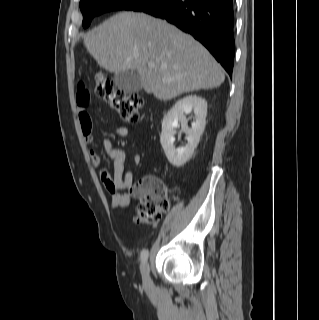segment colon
Segmentation results:
<instances>
[{"label":"colon","instance_id":"1","mask_svg":"<svg viewBox=\"0 0 319 320\" xmlns=\"http://www.w3.org/2000/svg\"><path fill=\"white\" fill-rule=\"evenodd\" d=\"M95 84L96 96L117 110L124 122L134 124L139 121V110L144 103L140 95L116 89L112 78L104 73L96 75ZM136 194L140 197L137 220L157 224L169 205L162 182L155 176L145 177L136 184Z\"/></svg>","mask_w":319,"mask_h":320}]
</instances>
